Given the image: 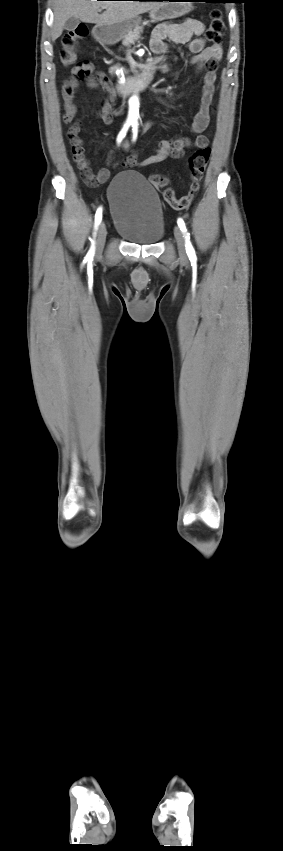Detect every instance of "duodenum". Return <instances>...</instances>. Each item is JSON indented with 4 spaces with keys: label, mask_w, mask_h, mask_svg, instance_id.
<instances>
[{
    "label": "duodenum",
    "mask_w": 283,
    "mask_h": 851,
    "mask_svg": "<svg viewBox=\"0 0 283 851\" xmlns=\"http://www.w3.org/2000/svg\"><path fill=\"white\" fill-rule=\"evenodd\" d=\"M155 64L156 61L151 59L146 63L140 74L118 81L115 85L117 93L121 96H126L134 91L148 87L155 73Z\"/></svg>",
    "instance_id": "duodenum-1"
}]
</instances>
